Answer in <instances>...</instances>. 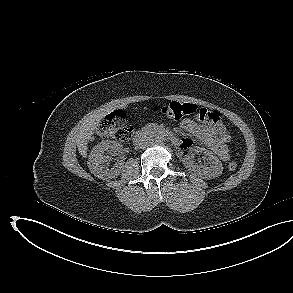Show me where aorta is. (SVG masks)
Returning a JSON list of instances; mask_svg holds the SVG:
<instances>
[{"mask_svg":"<svg viewBox=\"0 0 293 293\" xmlns=\"http://www.w3.org/2000/svg\"><path fill=\"white\" fill-rule=\"evenodd\" d=\"M155 142L162 143L165 140V137L163 135L155 137Z\"/></svg>","mask_w":293,"mask_h":293,"instance_id":"aorta-1","label":"aorta"}]
</instances>
